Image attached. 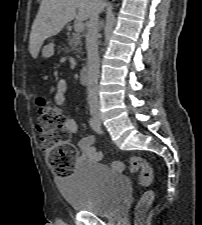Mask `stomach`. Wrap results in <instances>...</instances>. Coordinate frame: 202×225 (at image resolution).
Here are the masks:
<instances>
[{"label": "stomach", "mask_w": 202, "mask_h": 225, "mask_svg": "<svg viewBox=\"0 0 202 225\" xmlns=\"http://www.w3.org/2000/svg\"><path fill=\"white\" fill-rule=\"evenodd\" d=\"M54 54V44L49 43L42 49V56L45 58L51 57Z\"/></svg>", "instance_id": "0dacf381"}]
</instances>
